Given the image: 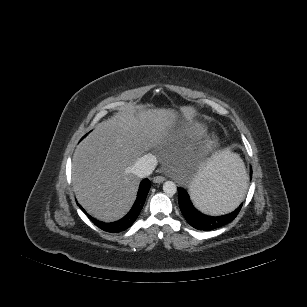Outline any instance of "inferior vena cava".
Masks as SVG:
<instances>
[{
	"label": "inferior vena cava",
	"instance_id": "inferior-vena-cava-1",
	"mask_svg": "<svg viewBox=\"0 0 307 307\" xmlns=\"http://www.w3.org/2000/svg\"><path fill=\"white\" fill-rule=\"evenodd\" d=\"M157 165V159L154 155L148 154L139 158L133 165V173L140 178L149 176Z\"/></svg>",
	"mask_w": 307,
	"mask_h": 307
}]
</instances>
